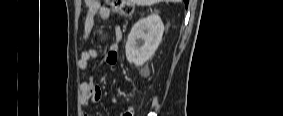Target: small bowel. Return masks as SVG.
<instances>
[{
    "label": "small bowel",
    "instance_id": "small-bowel-1",
    "mask_svg": "<svg viewBox=\"0 0 283 116\" xmlns=\"http://www.w3.org/2000/svg\"><path fill=\"white\" fill-rule=\"evenodd\" d=\"M85 4L87 9L83 16V34L84 39L86 40L93 30L96 17H99L102 20H107L110 18V12L107 7L102 6L97 0H86ZM121 38L122 29L120 26H116L115 41L109 45L106 52V61L109 64H114L117 60V51ZM97 56L98 52L96 49L91 47L86 48L84 51H82L78 59L77 65L79 69L86 71L88 69L89 62L97 58ZM80 92L82 105L84 107L99 101L102 96L101 88L95 85L92 81L83 82L80 87Z\"/></svg>",
    "mask_w": 283,
    "mask_h": 116
}]
</instances>
